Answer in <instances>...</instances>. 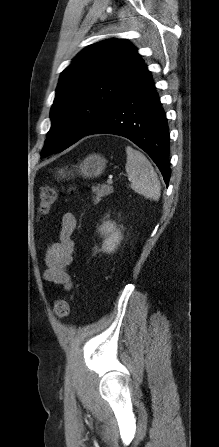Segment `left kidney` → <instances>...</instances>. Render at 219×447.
<instances>
[{"instance_id":"5707ae66","label":"left kidney","mask_w":219,"mask_h":447,"mask_svg":"<svg viewBox=\"0 0 219 447\" xmlns=\"http://www.w3.org/2000/svg\"><path fill=\"white\" fill-rule=\"evenodd\" d=\"M101 235L104 236L102 251L112 253L122 240L121 231L117 229L115 223L106 221L100 229Z\"/></svg>"}]
</instances>
